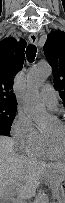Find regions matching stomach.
Segmentation results:
<instances>
[{
    "mask_svg": "<svg viewBox=\"0 0 65 203\" xmlns=\"http://www.w3.org/2000/svg\"><path fill=\"white\" fill-rule=\"evenodd\" d=\"M48 181L54 196L59 198L58 203H65V169L63 172L51 171Z\"/></svg>",
    "mask_w": 65,
    "mask_h": 203,
    "instance_id": "0dacf381",
    "label": "stomach"
}]
</instances>
